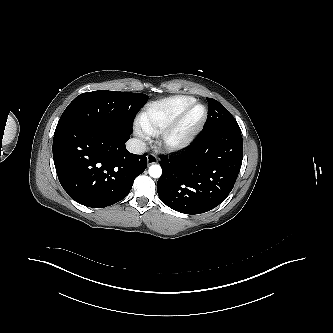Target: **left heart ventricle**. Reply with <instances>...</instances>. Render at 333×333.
<instances>
[{
  "label": "left heart ventricle",
  "mask_w": 333,
  "mask_h": 333,
  "mask_svg": "<svg viewBox=\"0 0 333 333\" xmlns=\"http://www.w3.org/2000/svg\"><path fill=\"white\" fill-rule=\"evenodd\" d=\"M203 109L202 107H196L194 108L191 113L188 115L185 124L183 126L182 132L188 130L190 127H192L195 123L199 121V119L202 117Z\"/></svg>",
  "instance_id": "left-heart-ventricle-1"
}]
</instances>
